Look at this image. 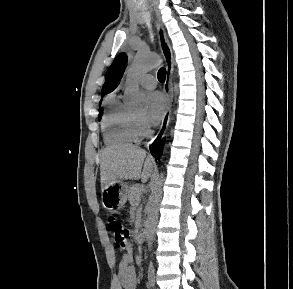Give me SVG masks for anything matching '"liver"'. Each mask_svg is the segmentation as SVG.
Here are the masks:
<instances>
[{"mask_svg":"<svg viewBox=\"0 0 293 289\" xmlns=\"http://www.w3.org/2000/svg\"><path fill=\"white\" fill-rule=\"evenodd\" d=\"M153 160L146 151L132 144L111 145L101 153L100 181L102 190L119 179L147 182Z\"/></svg>","mask_w":293,"mask_h":289,"instance_id":"liver-1","label":"liver"}]
</instances>
